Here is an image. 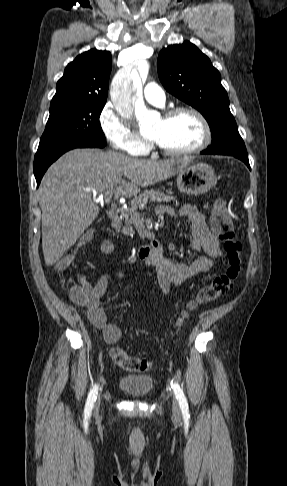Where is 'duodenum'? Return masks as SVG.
I'll list each match as a JSON object with an SVG mask.
<instances>
[{
  "instance_id": "obj_1",
  "label": "duodenum",
  "mask_w": 287,
  "mask_h": 486,
  "mask_svg": "<svg viewBox=\"0 0 287 486\" xmlns=\"http://www.w3.org/2000/svg\"><path fill=\"white\" fill-rule=\"evenodd\" d=\"M108 219L110 221H114L118 217V209L117 208H112L108 214ZM159 246L158 240H153L151 244L148 245H143L138 249V257L142 260L147 259L149 256L154 254Z\"/></svg>"
}]
</instances>
